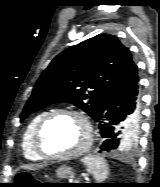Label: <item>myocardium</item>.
<instances>
[{
    "label": "myocardium",
    "mask_w": 160,
    "mask_h": 187,
    "mask_svg": "<svg viewBox=\"0 0 160 187\" xmlns=\"http://www.w3.org/2000/svg\"><path fill=\"white\" fill-rule=\"evenodd\" d=\"M62 116L77 117L83 122L86 128L87 135H86L85 143L79 149L73 152H70V153L52 152L46 149L44 145V138H45V133H46L47 128L54 120ZM92 142H93V128H92V124L89 118L81 111L74 110V109H61V110L49 112L39 122V124L36 127L35 134H34V145H35L36 151L44 159H47V160H69V159L78 158L84 155L90 149Z\"/></svg>",
    "instance_id": "myocardium-1"
}]
</instances>
